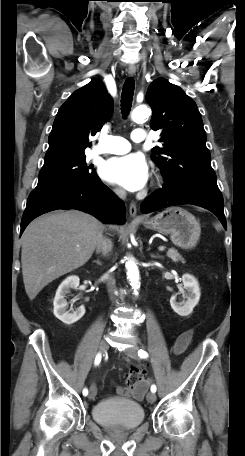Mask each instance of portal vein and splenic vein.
<instances>
[{"label": "portal vein and splenic vein", "mask_w": 245, "mask_h": 456, "mask_svg": "<svg viewBox=\"0 0 245 456\" xmlns=\"http://www.w3.org/2000/svg\"><path fill=\"white\" fill-rule=\"evenodd\" d=\"M158 249H159V251H164L165 250V246H160Z\"/></svg>", "instance_id": "obj_1"}]
</instances>
